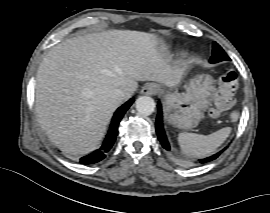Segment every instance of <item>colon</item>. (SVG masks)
<instances>
[{"mask_svg": "<svg viewBox=\"0 0 270 213\" xmlns=\"http://www.w3.org/2000/svg\"><path fill=\"white\" fill-rule=\"evenodd\" d=\"M237 87L238 79L236 72L234 70L224 71L219 79L217 90L211 98L213 105L209 110L210 115L217 117L233 107Z\"/></svg>", "mask_w": 270, "mask_h": 213, "instance_id": "obj_1", "label": "colon"}]
</instances>
